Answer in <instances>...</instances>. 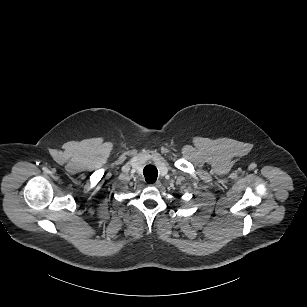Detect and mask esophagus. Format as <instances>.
<instances>
[{
  "label": "esophagus",
  "instance_id": "1",
  "mask_svg": "<svg viewBox=\"0 0 307 307\" xmlns=\"http://www.w3.org/2000/svg\"><path fill=\"white\" fill-rule=\"evenodd\" d=\"M160 185H161V181H159V180H157V181L153 184L154 187H160Z\"/></svg>",
  "mask_w": 307,
  "mask_h": 307
}]
</instances>
